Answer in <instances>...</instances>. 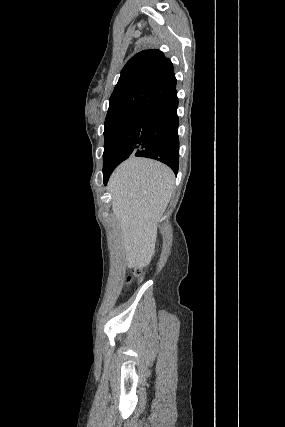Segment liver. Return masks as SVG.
I'll return each mask as SVG.
<instances>
[{
	"mask_svg": "<svg viewBox=\"0 0 285 427\" xmlns=\"http://www.w3.org/2000/svg\"><path fill=\"white\" fill-rule=\"evenodd\" d=\"M175 175L151 159L130 157L109 179L112 211L119 222L129 267L141 269L154 254L157 223L174 189Z\"/></svg>",
	"mask_w": 285,
	"mask_h": 427,
	"instance_id": "obj_1",
	"label": "liver"
}]
</instances>
